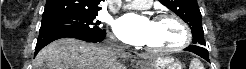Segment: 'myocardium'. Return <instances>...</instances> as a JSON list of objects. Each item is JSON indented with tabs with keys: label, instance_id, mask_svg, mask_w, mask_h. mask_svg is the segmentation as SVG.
<instances>
[{
	"label": "myocardium",
	"instance_id": "1",
	"mask_svg": "<svg viewBox=\"0 0 246 69\" xmlns=\"http://www.w3.org/2000/svg\"><path fill=\"white\" fill-rule=\"evenodd\" d=\"M164 19L173 20L182 29V32H183L182 40L178 44L171 46V47L156 48L152 46H146V48L152 51L160 52V53H168V52L178 51V50H182L186 48L191 42L192 35L185 21L173 13L157 14L153 17L152 21L164 20Z\"/></svg>",
	"mask_w": 246,
	"mask_h": 69
}]
</instances>
